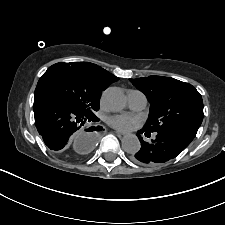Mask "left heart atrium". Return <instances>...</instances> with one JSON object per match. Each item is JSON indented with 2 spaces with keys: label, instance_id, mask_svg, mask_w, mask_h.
Instances as JSON below:
<instances>
[{
  "label": "left heart atrium",
  "instance_id": "39dd6f15",
  "mask_svg": "<svg viewBox=\"0 0 225 225\" xmlns=\"http://www.w3.org/2000/svg\"><path fill=\"white\" fill-rule=\"evenodd\" d=\"M110 125L121 131L132 130L138 124V120L130 115H116L108 119Z\"/></svg>",
  "mask_w": 225,
  "mask_h": 225
}]
</instances>
